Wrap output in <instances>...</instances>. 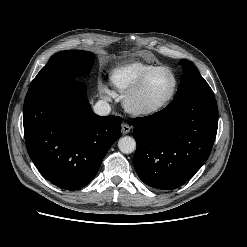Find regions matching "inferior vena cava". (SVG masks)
I'll return each instance as SVG.
<instances>
[{"label":"inferior vena cava","instance_id":"1","mask_svg":"<svg viewBox=\"0 0 247 247\" xmlns=\"http://www.w3.org/2000/svg\"><path fill=\"white\" fill-rule=\"evenodd\" d=\"M93 110L100 116H107L111 111V107L108 102L100 100L95 104Z\"/></svg>","mask_w":247,"mask_h":247}]
</instances>
